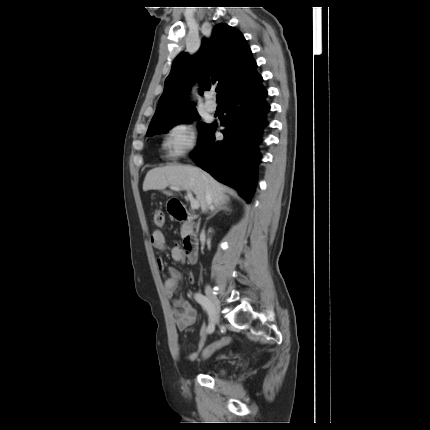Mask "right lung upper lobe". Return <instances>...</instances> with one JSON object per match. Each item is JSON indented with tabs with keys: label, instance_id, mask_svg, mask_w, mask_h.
Returning a JSON list of instances; mask_svg holds the SVG:
<instances>
[{
	"label": "right lung upper lobe",
	"instance_id": "1",
	"mask_svg": "<svg viewBox=\"0 0 430 430\" xmlns=\"http://www.w3.org/2000/svg\"><path fill=\"white\" fill-rule=\"evenodd\" d=\"M256 67L244 36L227 24L216 25L194 58L186 53L176 57L150 126L195 109L187 101L192 82L200 83L201 94L215 88L222 102L235 86L258 75Z\"/></svg>",
	"mask_w": 430,
	"mask_h": 430
}]
</instances>
